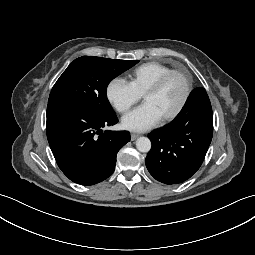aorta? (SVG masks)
Listing matches in <instances>:
<instances>
[{
  "label": "aorta",
  "instance_id": "aorta-1",
  "mask_svg": "<svg viewBox=\"0 0 255 255\" xmlns=\"http://www.w3.org/2000/svg\"><path fill=\"white\" fill-rule=\"evenodd\" d=\"M136 147L140 152H149L151 149V141L147 137H140L136 141Z\"/></svg>",
  "mask_w": 255,
  "mask_h": 255
}]
</instances>
